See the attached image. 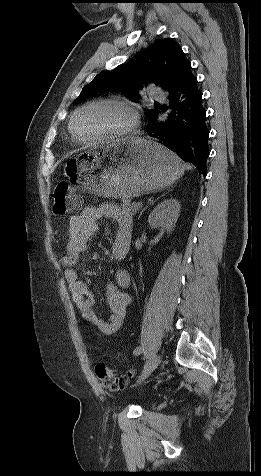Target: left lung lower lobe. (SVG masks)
Returning <instances> with one entry per match:
<instances>
[{"instance_id":"0a47b994","label":"left lung lower lobe","mask_w":261,"mask_h":476,"mask_svg":"<svg viewBox=\"0 0 261 476\" xmlns=\"http://www.w3.org/2000/svg\"><path fill=\"white\" fill-rule=\"evenodd\" d=\"M161 109L168 111L167 119L161 121L157 115L150 121L145 129L150 133L149 136L158 139L162 145L177 153L185 162L192 163L206 176L209 130L205 123L202 93L198 89L191 65L169 92V105L162 106Z\"/></svg>"}]
</instances>
